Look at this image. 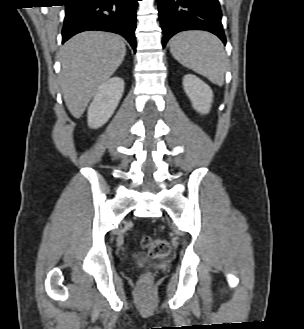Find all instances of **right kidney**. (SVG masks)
<instances>
[{"instance_id":"1","label":"right kidney","mask_w":304,"mask_h":329,"mask_svg":"<svg viewBox=\"0 0 304 329\" xmlns=\"http://www.w3.org/2000/svg\"><path fill=\"white\" fill-rule=\"evenodd\" d=\"M123 91L124 81L119 77L107 80L98 88L87 112L90 128H99L109 120L123 95Z\"/></svg>"}]
</instances>
